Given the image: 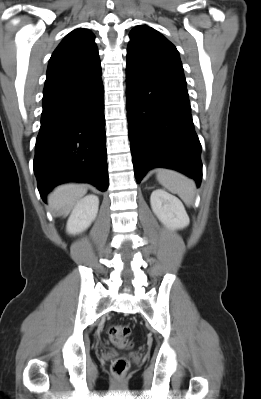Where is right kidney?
Masks as SVG:
<instances>
[{
    "instance_id": "1",
    "label": "right kidney",
    "mask_w": 261,
    "mask_h": 399,
    "mask_svg": "<svg viewBox=\"0 0 261 399\" xmlns=\"http://www.w3.org/2000/svg\"><path fill=\"white\" fill-rule=\"evenodd\" d=\"M98 208L99 199L96 195H87L79 200L67 221L66 231L73 235L85 231L96 219Z\"/></svg>"
}]
</instances>
